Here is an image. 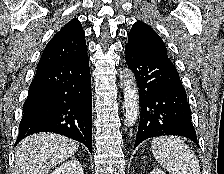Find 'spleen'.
Instances as JSON below:
<instances>
[{
  "mask_svg": "<svg viewBox=\"0 0 224 174\" xmlns=\"http://www.w3.org/2000/svg\"><path fill=\"white\" fill-rule=\"evenodd\" d=\"M151 148L155 159L170 174H200L196 155L179 137H157Z\"/></svg>",
  "mask_w": 224,
  "mask_h": 174,
  "instance_id": "3e777b00",
  "label": "spleen"
}]
</instances>
